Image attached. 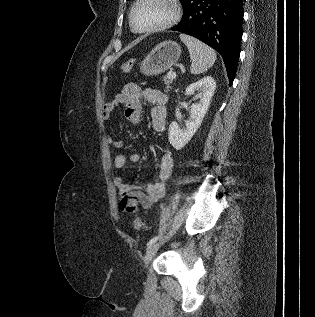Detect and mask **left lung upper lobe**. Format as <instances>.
I'll return each instance as SVG.
<instances>
[{
	"mask_svg": "<svg viewBox=\"0 0 315 317\" xmlns=\"http://www.w3.org/2000/svg\"><path fill=\"white\" fill-rule=\"evenodd\" d=\"M193 0H180V2L183 5L184 11L189 7V5L191 4Z\"/></svg>",
	"mask_w": 315,
	"mask_h": 317,
	"instance_id": "obj_1",
	"label": "left lung upper lobe"
}]
</instances>
